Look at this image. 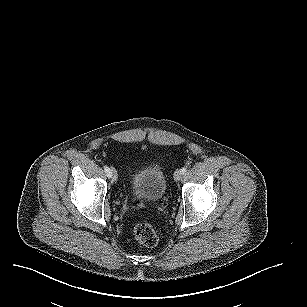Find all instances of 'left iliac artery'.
I'll return each instance as SVG.
<instances>
[{
  "instance_id": "left-iliac-artery-1",
  "label": "left iliac artery",
  "mask_w": 307,
  "mask_h": 307,
  "mask_svg": "<svg viewBox=\"0 0 307 307\" xmlns=\"http://www.w3.org/2000/svg\"><path fill=\"white\" fill-rule=\"evenodd\" d=\"M181 172H182V174H185V173L187 172V168L183 167V168L181 169Z\"/></svg>"
}]
</instances>
